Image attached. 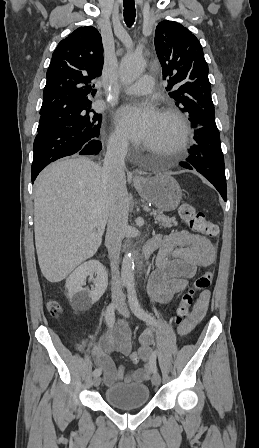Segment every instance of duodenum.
<instances>
[{"label":"duodenum","instance_id":"410a0bca","mask_svg":"<svg viewBox=\"0 0 259 448\" xmlns=\"http://www.w3.org/2000/svg\"><path fill=\"white\" fill-rule=\"evenodd\" d=\"M157 249V246L154 242H148L143 249V260L146 261L149 256Z\"/></svg>","mask_w":259,"mask_h":448}]
</instances>
